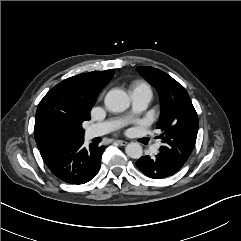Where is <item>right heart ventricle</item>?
<instances>
[{"label": "right heart ventricle", "instance_id": "1", "mask_svg": "<svg viewBox=\"0 0 241 241\" xmlns=\"http://www.w3.org/2000/svg\"><path fill=\"white\" fill-rule=\"evenodd\" d=\"M137 88H148V89H150L149 86L145 82H142V81H137V82L133 83L132 90L137 89Z\"/></svg>", "mask_w": 241, "mask_h": 241}]
</instances>
